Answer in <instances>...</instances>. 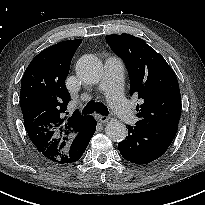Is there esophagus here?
Instances as JSON below:
<instances>
[{"label": "esophagus", "mask_w": 205, "mask_h": 205, "mask_svg": "<svg viewBox=\"0 0 205 205\" xmlns=\"http://www.w3.org/2000/svg\"><path fill=\"white\" fill-rule=\"evenodd\" d=\"M97 119H98L99 122L105 123V122H108V121H109L110 117L105 116V115H100V114H99V115L97 116Z\"/></svg>", "instance_id": "34e87169"}]
</instances>
